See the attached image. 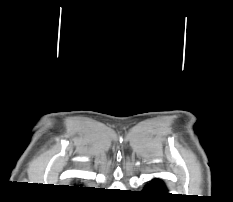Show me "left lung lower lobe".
<instances>
[{"label":"left lung lower lobe","instance_id":"obj_1","mask_svg":"<svg viewBox=\"0 0 233 202\" xmlns=\"http://www.w3.org/2000/svg\"><path fill=\"white\" fill-rule=\"evenodd\" d=\"M143 193L156 201L169 196L164 183L159 179H154L149 185H147Z\"/></svg>","mask_w":233,"mask_h":202}]
</instances>
